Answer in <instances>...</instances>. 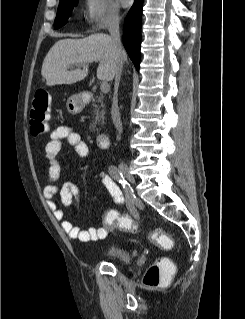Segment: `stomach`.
<instances>
[{"mask_svg": "<svg viewBox=\"0 0 245 319\" xmlns=\"http://www.w3.org/2000/svg\"><path fill=\"white\" fill-rule=\"evenodd\" d=\"M85 103L80 94L72 95L67 99L66 108L70 114H78L82 112Z\"/></svg>", "mask_w": 245, "mask_h": 319, "instance_id": "1", "label": "stomach"}]
</instances>
